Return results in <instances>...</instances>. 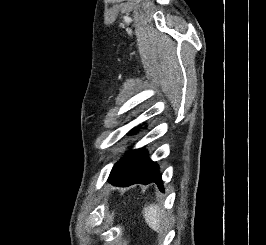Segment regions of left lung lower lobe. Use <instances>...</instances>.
I'll use <instances>...</instances> for the list:
<instances>
[{"mask_svg":"<svg viewBox=\"0 0 266 245\" xmlns=\"http://www.w3.org/2000/svg\"><path fill=\"white\" fill-rule=\"evenodd\" d=\"M158 166L148 157L146 150H138L136 161L130 170L123 175L109 177L108 181L116 186L126 187L135 183L149 184V182L157 183L159 189L164 191L161 180V174L157 170Z\"/></svg>","mask_w":266,"mask_h":245,"instance_id":"0a47b994","label":"left lung lower lobe"}]
</instances>
